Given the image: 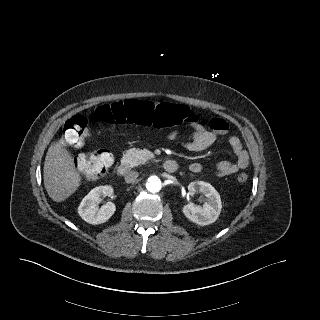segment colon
Masks as SVG:
<instances>
[{
    "label": "colon",
    "mask_w": 320,
    "mask_h": 320,
    "mask_svg": "<svg viewBox=\"0 0 320 320\" xmlns=\"http://www.w3.org/2000/svg\"><path fill=\"white\" fill-rule=\"evenodd\" d=\"M95 118L108 124H137L146 127L165 128L182 123L188 117L186 109L178 104H154L149 101L129 99L98 106ZM88 134V121L82 115L68 119L63 126L62 141L67 146H80ZM77 166L89 179L103 177L113 164V156L106 150L83 153L77 157ZM246 173H240L237 180L245 183Z\"/></svg>",
    "instance_id": "obj_1"
}]
</instances>
